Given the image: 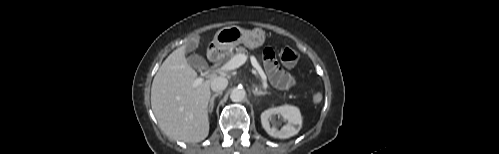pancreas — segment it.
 <instances>
[{
	"label": "pancreas",
	"mask_w": 499,
	"mask_h": 154,
	"mask_svg": "<svg viewBox=\"0 0 499 154\" xmlns=\"http://www.w3.org/2000/svg\"><path fill=\"white\" fill-rule=\"evenodd\" d=\"M236 53H237V54H246V53H247V50H246L244 47H238V48H236ZM225 56H226V60H227L229 56H230V57H232V56H233V53H229V52H227V53L225 54Z\"/></svg>",
	"instance_id": "pancreas-1"
}]
</instances>
